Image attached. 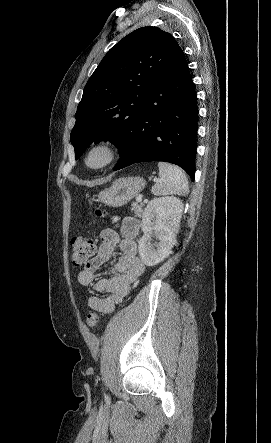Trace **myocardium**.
<instances>
[{"label": "myocardium", "mask_w": 271, "mask_h": 443, "mask_svg": "<svg viewBox=\"0 0 271 443\" xmlns=\"http://www.w3.org/2000/svg\"><path fill=\"white\" fill-rule=\"evenodd\" d=\"M97 147H102L106 150L107 152V157L105 159V161L97 166V167H88L86 165V157L88 155V153ZM120 156V145L117 141V139L113 136H103L100 138H96L94 140H92L84 149L83 153H82V157H81V163L82 166L91 172H97V171H101L104 170L108 167H110L111 165H113L117 159Z\"/></svg>", "instance_id": "myocardium-1"}]
</instances>
